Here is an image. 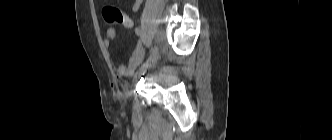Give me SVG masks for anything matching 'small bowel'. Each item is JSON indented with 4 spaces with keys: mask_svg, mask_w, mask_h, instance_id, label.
<instances>
[{
    "mask_svg": "<svg viewBox=\"0 0 332 140\" xmlns=\"http://www.w3.org/2000/svg\"><path fill=\"white\" fill-rule=\"evenodd\" d=\"M143 0H135L132 6V11L137 12L142 4ZM116 38V30L112 27L107 28L106 38L103 40L105 47L109 48L111 42ZM144 49L140 44L137 45L133 51L131 57L127 64H122L118 67L117 72L120 76L131 77L138 66L142 63L144 59Z\"/></svg>",
    "mask_w": 332,
    "mask_h": 140,
    "instance_id": "small-bowel-1",
    "label": "small bowel"
}]
</instances>
